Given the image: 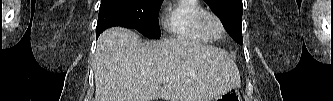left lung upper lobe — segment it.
I'll use <instances>...</instances> for the list:
<instances>
[{
    "label": "left lung upper lobe",
    "mask_w": 333,
    "mask_h": 101,
    "mask_svg": "<svg viewBox=\"0 0 333 101\" xmlns=\"http://www.w3.org/2000/svg\"><path fill=\"white\" fill-rule=\"evenodd\" d=\"M230 36L242 44V0H205Z\"/></svg>",
    "instance_id": "left-lung-upper-lobe-1"
}]
</instances>
